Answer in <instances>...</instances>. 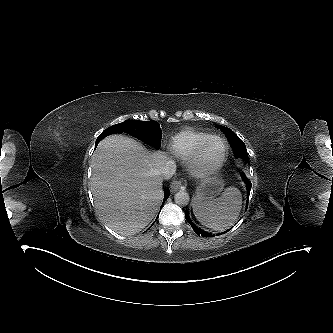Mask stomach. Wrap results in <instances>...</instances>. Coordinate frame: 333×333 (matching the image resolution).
<instances>
[{
    "label": "stomach",
    "mask_w": 333,
    "mask_h": 333,
    "mask_svg": "<svg viewBox=\"0 0 333 333\" xmlns=\"http://www.w3.org/2000/svg\"><path fill=\"white\" fill-rule=\"evenodd\" d=\"M224 183L221 179L212 177L203 182L196 193V197L203 200H210L215 198L222 191Z\"/></svg>",
    "instance_id": "stomach-1"
}]
</instances>
